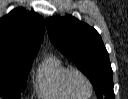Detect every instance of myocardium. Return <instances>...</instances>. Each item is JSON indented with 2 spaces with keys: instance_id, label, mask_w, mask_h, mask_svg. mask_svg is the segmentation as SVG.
I'll return each instance as SVG.
<instances>
[{
  "instance_id": "1",
  "label": "myocardium",
  "mask_w": 128,
  "mask_h": 99,
  "mask_svg": "<svg viewBox=\"0 0 128 99\" xmlns=\"http://www.w3.org/2000/svg\"><path fill=\"white\" fill-rule=\"evenodd\" d=\"M74 75H79L81 76L86 82L87 84L89 85V88H90V92H89V95L86 96V97H80L78 95H76L71 87V78L74 76ZM65 86L67 88V90L69 91V93L73 96V97H79V98H90L93 94V84L90 80V78L83 72L81 71L80 69H77V68H70L68 70V72L66 73V76H65Z\"/></svg>"
}]
</instances>
